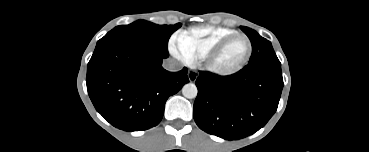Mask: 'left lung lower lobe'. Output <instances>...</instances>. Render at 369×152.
I'll use <instances>...</instances> for the list:
<instances>
[{
	"label": "left lung lower lobe",
	"instance_id": "0a47b994",
	"mask_svg": "<svg viewBox=\"0 0 369 152\" xmlns=\"http://www.w3.org/2000/svg\"><path fill=\"white\" fill-rule=\"evenodd\" d=\"M194 120L203 131L225 140H238L265 126L277 110L283 78L281 65L244 67L219 76L201 71Z\"/></svg>",
	"mask_w": 369,
	"mask_h": 152
}]
</instances>
